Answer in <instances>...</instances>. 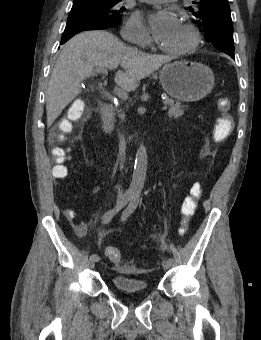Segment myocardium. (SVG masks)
<instances>
[{
	"label": "myocardium",
	"instance_id": "f54148a6",
	"mask_svg": "<svg viewBox=\"0 0 261 340\" xmlns=\"http://www.w3.org/2000/svg\"><path fill=\"white\" fill-rule=\"evenodd\" d=\"M183 26L190 34V37H191L190 43L187 46L182 47V48H167L161 45L160 46L161 50H163L164 52L173 54V55H184V54L192 53L198 48V46L201 43V35H200L198 28L194 24L189 23V22H185Z\"/></svg>",
	"mask_w": 261,
	"mask_h": 340
}]
</instances>
